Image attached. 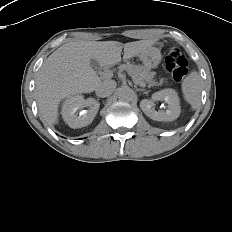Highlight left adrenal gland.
I'll return each mask as SVG.
<instances>
[{
    "label": "left adrenal gland",
    "instance_id": "a2214340",
    "mask_svg": "<svg viewBox=\"0 0 232 232\" xmlns=\"http://www.w3.org/2000/svg\"><path fill=\"white\" fill-rule=\"evenodd\" d=\"M139 91H141V92H145L146 90H145V89H139Z\"/></svg>",
    "mask_w": 232,
    "mask_h": 232
}]
</instances>
